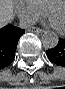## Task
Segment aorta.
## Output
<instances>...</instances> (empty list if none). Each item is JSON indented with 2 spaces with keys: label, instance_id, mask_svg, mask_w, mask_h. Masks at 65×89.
<instances>
[{
  "label": "aorta",
  "instance_id": "obj_1",
  "mask_svg": "<svg viewBox=\"0 0 65 89\" xmlns=\"http://www.w3.org/2000/svg\"><path fill=\"white\" fill-rule=\"evenodd\" d=\"M59 41L58 35L54 32L47 31L42 35V43L44 48L53 49Z\"/></svg>",
  "mask_w": 65,
  "mask_h": 89
}]
</instances>
